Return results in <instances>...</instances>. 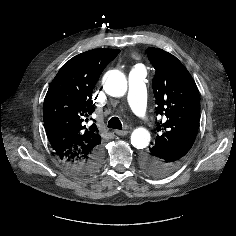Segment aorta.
Returning <instances> with one entry per match:
<instances>
[{"label":"aorta","mask_w":236,"mask_h":236,"mask_svg":"<svg viewBox=\"0 0 236 236\" xmlns=\"http://www.w3.org/2000/svg\"><path fill=\"white\" fill-rule=\"evenodd\" d=\"M105 92L113 97H121L127 91V79L119 70L108 71L103 78ZM150 133L147 129L139 127L131 134V144L136 149H143L149 145Z\"/></svg>","instance_id":"1"}]
</instances>
